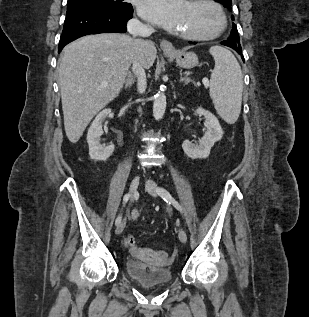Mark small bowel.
<instances>
[{
    "instance_id": "1",
    "label": "small bowel",
    "mask_w": 309,
    "mask_h": 317,
    "mask_svg": "<svg viewBox=\"0 0 309 317\" xmlns=\"http://www.w3.org/2000/svg\"><path fill=\"white\" fill-rule=\"evenodd\" d=\"M131 251H132V252H135V251H136V249H135V248H131Z\"/></svg>"
}]
</instances>
